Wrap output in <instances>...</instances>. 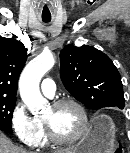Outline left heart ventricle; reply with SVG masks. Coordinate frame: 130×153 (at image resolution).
I'll list each match as a JSON object with an SVG mask.
<instances>
[{
	"mask_svg": "<svg viewBox=\"0 0 130 153\" xmlns=\"http://www.w3.org/2000/svg\"><path fill=\"white\" fill-rule=\"evenodd\" d=\"M44 118L50 121L54 131L60 137H74L81 127L80 114L72 105H64L56 109L49 107Z\"/></svg>",
	"mask_w": 130,
	"mask_h": 153,
	"instance_id": "b2bd125f",
	"label": "left heart ventricle"
}]
</instances>
